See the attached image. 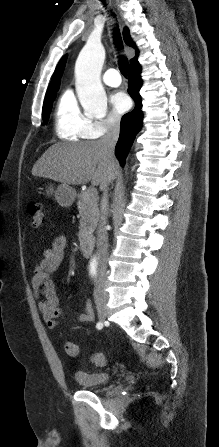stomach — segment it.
<instances>
[{"label":"stomach","mask_w":219,"mask_h":447,"mask_svg":"<svg viewBox=\"0 0 219 447\" xmlns=\"http://www.w3.org/2000/svg\"><path fill=\"white\" fill-rule=\"evenodd\" d=\"M48 194L55 195V198L60 206L62 207H69L73 204L75 197H76V191L71 188L68 185L61 184L59 185L55 190L52 185L48 187L47 190Z\"/></svg>","instance_id":"obj_1"}]
</instances>
